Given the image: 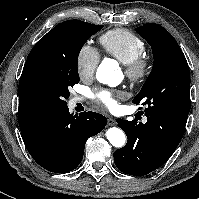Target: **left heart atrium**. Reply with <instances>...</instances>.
I'll use <instances>...</instances> for the list:
<instances>
[{"mask_svg": "<svg viewBox=\"0 0 199 199\" xmlns=\"http://www.w3.org/2000/svg\"><path fill=\"white\" fill-rule=\"evenodd\" d=\"M97 98L101 104H103L110 110H115L118 106L117 101L111 92L102 91L97 94Z\"/></svg>", "mask_w": 199, "mask_h": 199, "instance_id": "1", "label": "left heart atrium"}]
</instances>
